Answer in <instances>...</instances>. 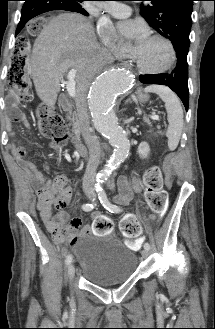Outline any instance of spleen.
Instances as JSON below:
<instances>
[{"label": "spleen", "instance_id": "3e777b00", "mask_svg": "<svg viewBox=\"0 0 215 329\" xmlns=\"http://www.w3.org/2000/svg\"><path fill=\"white\" fill-rule=\"evenodd\" d=\"M146 93H156L165 103L167 119L168 147L175 150L178 146L183 129V110L179 98L168 87L151 85L145 88Z\"/></svg>", "mask_w": 215, "mask_h": 329}]
</instances>
